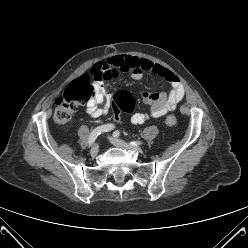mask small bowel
Masks as SVG:
<instances>
[{
  "label": "small bowel",
  "instance_id": "c3829d8e",
  "mask_svg": "<svg viewBox=\"0 0 248 248\" xmlns=\"http://www.w3.org/2000/svg\"><path fill=\"white\" fill-rule=\"evenodd\" d=\"M91 73L96 78L94 83L96 97L85 108V113L91 118L103 117L109 113L111 95L104 88L103 81L117 79L119 73L130 74L137 81H140L145 73H152L169 82L172 87L168 93H140L142 101L149 105L150 109L147 112L133 113L131 116L133 124H142L147 120L162 117L167 112L174 110L185 95L184 84L178 75L166 67L143 58L126 55L112 56L94 64Z\"/></svg>",
  "mask_w": 248,
  "mask_h": 248
}]
</instances>
